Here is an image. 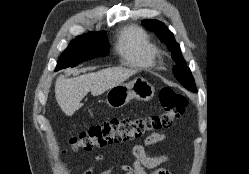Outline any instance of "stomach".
Masks as SVG:
<instances>
[{"mask_svg": "<svg viewBox=\"0 0 249 174\" xmlns=\"http://www.w3.org/2000/svg\"><path fill=\"white\" fill-rule=\"evenodd\" d=\"M154 91V87L146 79L139 77L110 88L106 94V101L110 107L120 108L134 98L148 101L154 96Z\"/></svg>", "mask_w": 249, "mask_h": 174, "instance_id": "1", "label": "stomach"}]
</instances>
